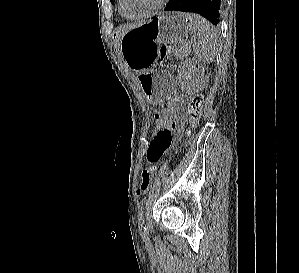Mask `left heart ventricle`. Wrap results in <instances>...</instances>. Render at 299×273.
I'll return each instance as SVG.
<instances>
[{
  "label": "left heart ventricle",
  "mask_w": 299,
  "mask_h": 273,
  "mask_svg": "<svg viewBox=\"0 0 299 273\" xmlns=\"http://www.w3.org/2000/svg\"><path fill=\"white\" fill-rule=\"evenodd\" d=\"M159 0H123V11L128 16H137L151 10Z\"/></svg>",
  "instance_id": "1"
}]
</instances>
